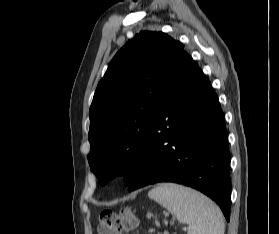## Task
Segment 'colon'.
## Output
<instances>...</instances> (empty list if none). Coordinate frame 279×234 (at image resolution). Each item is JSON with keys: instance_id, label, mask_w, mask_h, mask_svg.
I'll return each mask as SVG.
<instances>
[{"instance_id": "obj_1", "label": "colon", "mask_w": 279, "mask_h": 234, "mask_svg": "<svg viewBox=\"0 0 279 234\" xmlns=\"http://www.w3.org/2000/svg\"><path fill=\"white\" fill-rule=\"evenodd\" d=\"M136 225L137 219L130 207H125L119 213L105 210L100 215L99 234H122Z\"/></svg>"}]
</instances>
